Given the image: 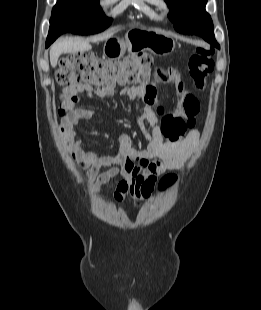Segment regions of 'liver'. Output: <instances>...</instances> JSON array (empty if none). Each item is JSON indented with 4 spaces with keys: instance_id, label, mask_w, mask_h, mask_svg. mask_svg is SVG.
Instances as JSON below:
<instances>
[{
    "instance_id": "liver-1",
    "label": "liver",
    "mask_w": 261,
    "mask_h": 310,
    "mask_svg": "<svg viewBox=\"0 0 261 310\" xmlns=\"http://www.w3.org/2000/svg\"><path fill=\"white\" fill-rule=\"evenodd\" d=\"M112 36V33L107 35L96 37L92 41L106 40ZM92 46L89 40L79 39V38H65L54 43L50 49V63L53 68L56 67L58 59L63 53H77L90 51Z\"/></svg>"
}]
</instances>
